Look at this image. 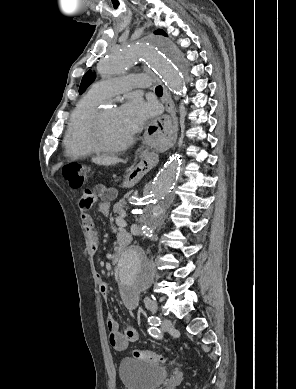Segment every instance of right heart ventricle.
I'll return each mask as SVG.
<instances>
[{
    "instance_id": "obj_1",
    "label": "right heart ventricle",
    "mask_w": 296,
    "mask_h": 389,
    "mask_svg": "<svg viewBox=\"0 0 296 389\" xmlns=\"http://www.w3.org/2000/svg\"><path fill=\"white\" fill-rule=\"evenodd\" d=\"M102 100V97L89 91L78 103L64 137L68 157L84 159L96 153L91 143V131Z\"/></svg>"
}]
</instances>
